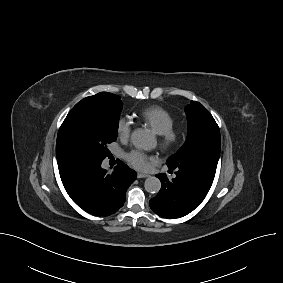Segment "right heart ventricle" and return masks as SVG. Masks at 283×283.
<instances>
[{"instance_id":"right-heart-ventricle-1","label":"right heart ventricle","mask_w":283,"mask_h":283,"mask_svg":"<svg viewBox=\"0 0 283 283\" xmlns=\"http://www.w3.org/2000/svg\"><path fill=\"white\" fill-rule=\"evenodd\" d=\"M139 119L157 134L173 126L174 117L170 112L159 106H150L141 110Z\"/></svg>"}]
</instances>
